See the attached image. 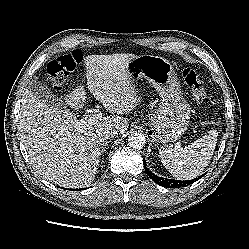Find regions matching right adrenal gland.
<instances>
[{"label": "right adrenal gland", "instance_id": "2a0ac1e0", "mask_svg": "<svg viewBox=\"0 0 249 249\" xmlns=\"http://www.w3.org/2000/svg\"><path fill=\"white\" fill-rule=\"evenodd\" d=\"M107 145V141L105 142V144L103 145V148H102V153L104 152V148H105V146Z\"/></svg>", "mask_w": 249, "mask_h": 249}]
</instances>
